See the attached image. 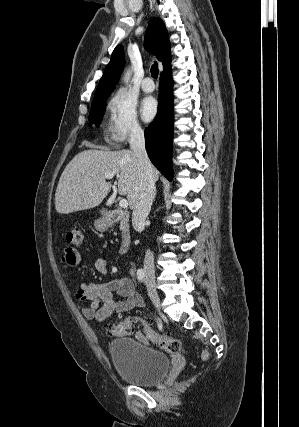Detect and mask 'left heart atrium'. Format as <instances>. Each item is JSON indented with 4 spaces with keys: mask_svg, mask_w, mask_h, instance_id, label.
<instances>
[{
    "mask_svg": "<svg viewBox=\"0 0 299 427\" xmlns=\"http://www.w3.org/2000/svg\"><path fill=\"white\" fill-rule=\"evenodd\" d=\"M157 112L156 100L152 97H146L142 100L140 105V113L142 119L146 122L151 121Z\"/></svg>",
    "mask_w": 299,
    "mask_h": 427,
    "instance_id": "39dd6f15",
    "label": "left heart atrium"
}]
</instances>
